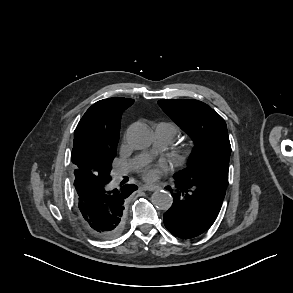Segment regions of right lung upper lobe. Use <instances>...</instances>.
Masks as SVG:
<instances>
[{
    "instance_id": "cb5924a9",
    "label": "right lung upper lobe",
    "mask_w": 293,
    "mask_h": 293,
    "mask_svg": "<svg viewBox=\"0 0 293 293\" xmlns=\"http://www.w3.org/2000/svg\"><path fill=\"white\" fill-rule=\"evenodd\" d=\"M133 99L115 97L93 104L74 133L71 160L76 170L97 172L94 160L115 154L122 112Z\"/></svg>"
}]
</instances>
